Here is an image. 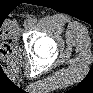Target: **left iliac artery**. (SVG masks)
Returning <instances> with one entry per match:
<instances>
[{"instance_id": "44dca946", "label": "left iliac artery", "mask_w": 93, "mask_h": 93, "mask_svg": "<svg viewBox=\"0 0 93 93\" xmlns=\"http://www.w3.org/2000/svg\"><path fill=\"white\" fill-rule=\"evenodd\" d=\"M31 22H32L33 24H35V23L37 22V19H36V18H33V19L31 20Z\"/></svg>"}]
</instances>
